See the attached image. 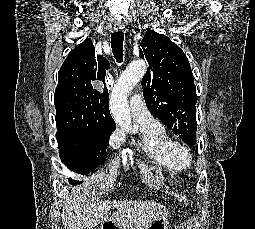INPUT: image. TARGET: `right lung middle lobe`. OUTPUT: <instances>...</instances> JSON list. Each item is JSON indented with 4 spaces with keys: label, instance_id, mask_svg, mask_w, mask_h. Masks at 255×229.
Wrapping results in <instances>:
<instances>
[{
    "label": "right lung middle lobe",
    "instance_id": "1",
    "mask_svg": "<svg viewBox=\"0 0 255 229\" xmlns=\"http://www.w3.org/2000/svg\"><path fill=\"white\" fill-rule=\"evenodd\" d=\"M110 135L99 133L56 134L61 161L76 173L87 175L106 159ZM70 183H79L69 178Z\"/></svg>",
    "mask_w": 255,
    "mask_h": 229
}]
</instances>
